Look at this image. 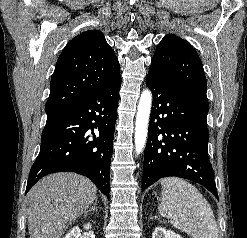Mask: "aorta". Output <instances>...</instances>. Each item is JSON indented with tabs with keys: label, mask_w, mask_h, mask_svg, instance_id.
I'll return each mask as SVG.
<instances>
[{
	"label": "aorta",
	"mask_w": 247,
	"mask_h": 238,
	"mask_svg": "<svg viewBox=\"0 0 247 238\" xmlns=\"http://www.w3.org/2000/svg\"><path fill=\"white\" fill-rule=\"evenodd\" d=\"M152 106V94L146 89L142 92L135 121V151L140 154L146 144L148 136V124Z\"/></svg>",
	"instance_id": "aorta-1"
}]
</instances>
